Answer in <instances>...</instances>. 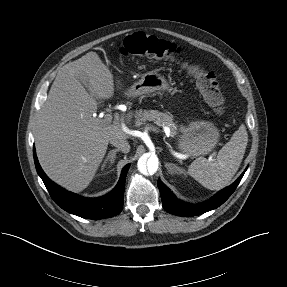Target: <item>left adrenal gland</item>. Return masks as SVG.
Listing matches in <instances>:
<instances>
[{
  "label": "left adrenal gland",
  "mask_w": 287,
  "mask_h": 287,
  "mask_svg": "<svg viewBox=\"0 0 287 287\" xmlns=\"http://www.w3.org/2000/svg\"><path fill=\"white\" fill-rule=\"evenodd\" d=\"M165 167L167 168V170L170 174H184L185 175L184 170L182 168L176 166L173 163H165Z\"/></svg>",
  "instance_id": "obj_1"
}]
</instances>
